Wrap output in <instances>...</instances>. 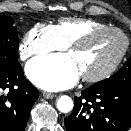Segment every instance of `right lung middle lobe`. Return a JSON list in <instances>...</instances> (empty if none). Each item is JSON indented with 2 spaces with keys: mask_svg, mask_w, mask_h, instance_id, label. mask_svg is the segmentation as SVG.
I'll use <instances>...</instances> for the list:
<instances>
[{
  "mask_svg": "<svg viewBox=\"0 0 131 131\" xmlns=\"http://www.w3.org/2000/svg\"><path fill=\"white\" fill-rule=\"evenodd\" d=\"M14 20L8 16H0V70H10L19 63L17 28Z\"/></svg>",
  "mask_w": 131,
  "mask_h": 131,
  "instance_id": "obj_1",
  "label": "right lung middle lobe"
}]
</instances>
